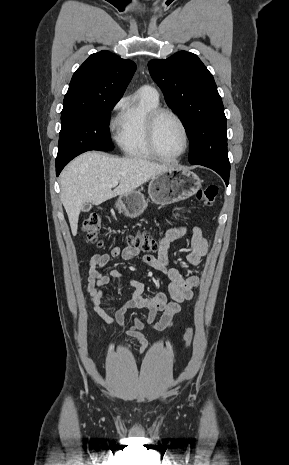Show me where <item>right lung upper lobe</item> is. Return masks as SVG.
<instances>
[{"instance_id":"1","label":"right lung upper lobe","mask_w":289,"mask_h":465,"mask_svg":"<svg viewBox=\"0 0 289 465\" xmlns=\"http://www.w3.org/2000/svg\"><path fill=\"white\" fill-rule=\"evenodd\" d=\"M135 69L133 61L121 59L109 51L90 55L71 79L62 112L83 110L101 102L120 100Z\"/></svg>"}]
</instances>
